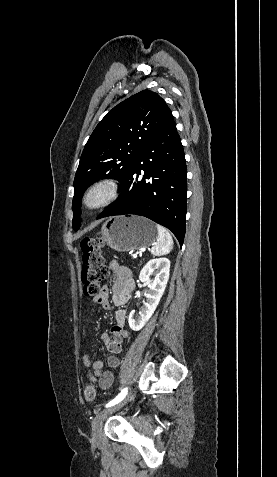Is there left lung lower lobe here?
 Here are the masks:
<instances>
[{
	"label": "left lung lower lobe",
	"instance_id": "0a47b994",
	"mask_svg": "<svg viewBox=\"0 0 277 477\" xmlns=\"http://www.w3.org/2000/svg\"><path fill=\"white\" fill-rule=\"evenodd\" d=\"M186 211V161L172 118L136 157L132 171L122 183L120 200L97 219L113 215L144 216L170 229L182 246Z\"/></svg>",
	"mask_w": 277,
	"mask_h": 477
}]
</instances>
